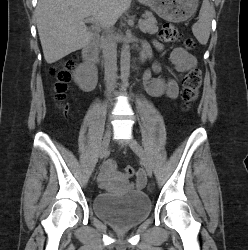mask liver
Listing matches in <instances>:
<instances>
[{"instance_id": "obj_1", "label": "liver", "mask_w": 248, "mask_h": 250, "mask_svg": "<svg viewBox=\"0 0 248 250\" xmlns=\"http://www.w3.org/2000/svg\"><path fill=\"white\" fill-rule=\"evenodd\" d=\"M129 5L130 0H39L35 16L46 62L52 64L88 45L93 28L86 26V17L107 27Z\"/></svg>"}]
</instances>
